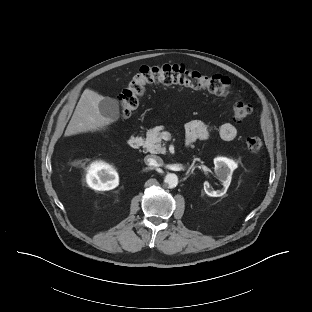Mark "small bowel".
<instances>
[{"instance_id":"obj_1","label":"small bowel","mask_w":312,"mask_h":312,"mask_svg":"<svg viewBox=\"0 0 312 312\" xmlns=\"http://www.w3.org/2000/svg\"><path fill=\"white\" fill-rule=\"evenodd\" d=\"M219 136L224 141H231L237 136V128L231 123H224L219 128ZM209 137L207 125L201 121H191L186 125V142L191 144L196 140H206Z\"/></svg>"}]
</instances>
